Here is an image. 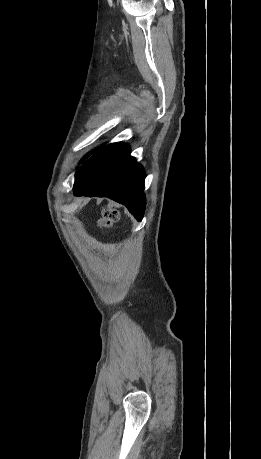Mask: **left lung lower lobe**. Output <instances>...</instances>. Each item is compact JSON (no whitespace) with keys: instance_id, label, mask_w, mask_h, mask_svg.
<instances>
[{"instance_id":"1","label":"left lung lower lobe","mask_w":261,"mask_h":459,"mask_svg":"<svg viewBox=\"0 0 261 459\" xmlns=\"http://www.w3.org/2000/svg\"><path fill=\"white\" fill-rule=\"evenodd\" d=\"M145 172L128 145L113 143L90 158L76 173L75 196L109 197L124 204L141 221L145 210Z\"/></svg>"}]
</instances>
